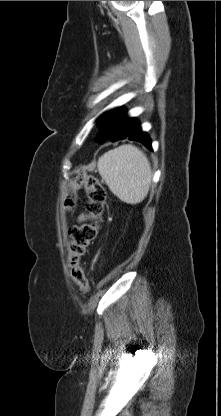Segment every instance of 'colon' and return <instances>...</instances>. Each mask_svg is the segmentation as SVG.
<instances>
[{"label":"colon","instance_id":"colon-1","mask_svg":"<svg viewBox=\"0 0 221 416\" xmlns=\"http://www.w3.org/2000/svg\"><path fill=\"white\" fill-rule=\"evenodd\" d=\"M81 186H84L86 190V210L91 215V219L71 228L67 250L70 277L79 286L80 291L86 294L89 284L80 260L98 236L102 215L106 207L107 194L97 177L93 175L76 176L64 202L66 208L72 209L75 206V192Z\"/></svg>","mask_w":221,"mask_h":416}]
</instances>
